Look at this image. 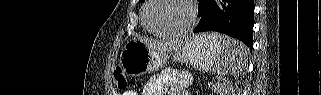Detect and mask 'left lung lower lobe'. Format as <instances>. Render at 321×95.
Here are the masks:
<instances>
[{"label":"left lung lower lobe","mask_w":321,"mask_h":95,"mask_svg":"<svg viewBox=\"0 0 321 95\" xmlns=\"http://www.w3.org/2000/svg\"><path fill=\"white\" fill-rule=\"evenodd\" d=\"M201 17L194 33L217 31L237 38L250 50L253 47V0H200Z\"/></svg>","instance_id":"0a47b994"}]
</instances>
